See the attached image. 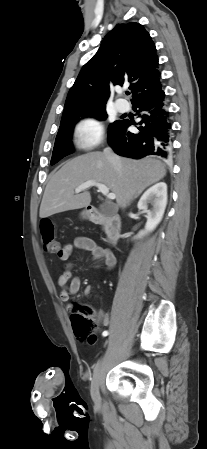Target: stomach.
<instances>
[{
    "instance_id": "stomach-1",
    "label": "stomach",
    "mask_w": 207,
    "mask_h": 449,
    "mask_svg": "<svg viewBox=\"0 0 207 449\" xmlns=\"http://www.w3.org/2000/svg\"><path fill=\"white\" fill-rule=\"evenodd\" d=\"M87 216H88V214H87L86 211H83V212L81 213V217H82V218H87Z\"/></svg>"
}]
</instances>
